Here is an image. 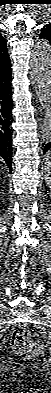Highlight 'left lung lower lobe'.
<instances>
[{
    "mask_svg": "<svg viewBox=\"0 0 51 393\" xmlns=\"http://www.w3.org/2000/svg\"><path fill=\"white\" fill-rule=\"evenodd\" d=\"M49 149H51V142L45 146L43 153H46Z\"/></svg>",
    "mask_w": 51,
    "mask_h": 393,
    "instance_id": "1",
    "label": "left lung lower lobe"
}]
</instances>
